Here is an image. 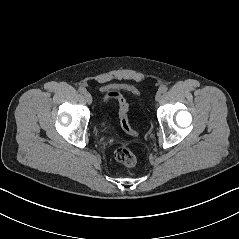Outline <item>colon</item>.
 <instances>
[{
	"mask_svg": "<svg viewBox=\"0 0 239 239\" xmlns=\"http://www.w3.org/2000/svg\"><path fill=\"white\" fill-rule=\"evenodd\" d=\"M110 96L117 99L119 103V115L122 128L131 135L138 134V130L132 127L128 119V104L126 100L117 92H111ZM115 160L128 167H132L137 163L136 155L126 147H119L114 152Z\"/></svg>",
	"mask_w": 239,
	"mask_h": 239,
	"instance_id": "obj_1",
	"label": "colon"
}]
</instances>
